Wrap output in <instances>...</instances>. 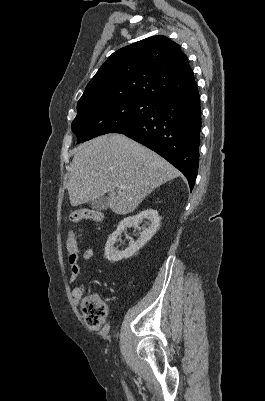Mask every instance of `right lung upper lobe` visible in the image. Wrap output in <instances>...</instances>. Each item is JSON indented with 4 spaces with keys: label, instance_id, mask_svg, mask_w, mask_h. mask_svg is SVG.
Wrapping results in <instances>:
<instances>
[{
    "label": "right lung upper lobe",
    "instance_id": "obj_1",
    "mask_svg": "<svg viewBox=\"0 0 265 401\" xmlns=\"http://www.w3.org/2000/svg\"><path fill=\"white\" fill-rule=\"evenodd\" d=\"M196 84L186 55L165 36H154L114 52L86 86L77 106L103 98L160 100Z\"/></svg>",
    "mask_w": 265,
    "mask_h": 401
}]
</instances>
